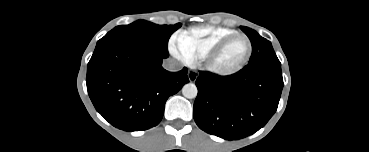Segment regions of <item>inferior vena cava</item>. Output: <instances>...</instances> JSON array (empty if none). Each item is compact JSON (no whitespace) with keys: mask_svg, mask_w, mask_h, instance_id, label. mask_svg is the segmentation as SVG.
Segmentation results:
<instances>
[{"mask_svg":"<svg viewBox=\"0 0 369 152\" xmlns=\"http://www.w3.org/2000/svg\"><path fill=\"white\" fill-rule=\"evenodd\" d=\"M163 67L171 72H176L182 69V65L177 60L172 58L164 60Z\"/></svg>","mask_w":369,"mask_h":152,"instance_id":"1","label":"inferior vena cava"}]
</instances>
